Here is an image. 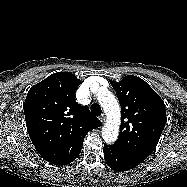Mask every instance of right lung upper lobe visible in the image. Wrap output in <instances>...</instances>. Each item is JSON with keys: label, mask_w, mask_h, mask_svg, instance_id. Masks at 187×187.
<instances>
[{"label": "right lung upper lobe", "mask_w": 187, "mask_h": 187, "mask_svg": "<svg viewBox=\"0 0 187 187\" xmlns=\"http://www.w3.org/2000/svg\"><path fill=\"white\" fill-rule=\"evenodd\" d=\"M81 81L57 72L30 88L25 103L26 126L39 154L54 165L71 163L80 154L86 134L101 126L87 106L75 100Z\"/></svg>", "instance_id": "obj_1"}]
</instances>
